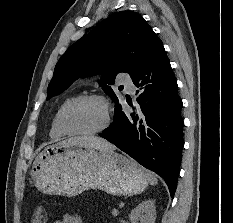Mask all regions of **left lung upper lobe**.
Returning <instances> with one entry per match:
<instances>
[{"mask_svg": "<svg viewBox=\"0 0 233 223\" xmlns=\"http://www.w3.org/2000/svg\"><path fill=\"white\" fill-rule=\"evenodd\" d=\"M159 39L144 18L133 11H120L102 21L62 55L48 86V97L62 93L79 77L103 73V90L117 100L109 85L120 72L133 76L154 42ZM121 106L116 104L114 115Z\"/></svg>", "mask_w": 233, "mask_h": 223, "instance_id": "obj_1", "label": "left lung upper lobe"}]
</instances>
